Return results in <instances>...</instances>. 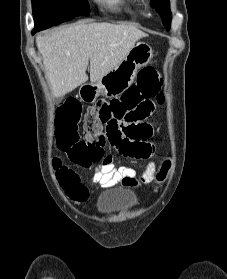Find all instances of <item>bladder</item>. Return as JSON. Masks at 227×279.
I'll use <instances>...</instances> for the list:
<instances>
[{
	"mask_svg": "<svg viewBox=\"0 0 227 279\" xmlns=\"http://www.w3.org/2000/svg\"><path fill=\"white\" fill-rule=\"evenodd\" d=\"M137 205L136 195L125 189H113L102 193L96 204V211L101 215H112L127 211Z\"/></svg>",
	"mask_w": 227,
	"mask_h": 279,
	"instance_id": "bladder-1",
	"label": "bladder"
}]
</instances>
